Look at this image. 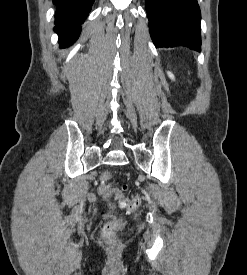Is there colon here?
I'll return each mask as SVG.
<instances>
[{"label":"colon","instance_id":"obj_1","mask_svg":"<svg viewBox=\"0 0 247 275\" xmlns=\"http://www.w3.org/2000/svg\"><path fill=\"white\" fill-rule=\"evenodd\" d=\"M111 179V173L104 172L100 176L101 184L98 186V193L103 196H109L115 194L117 200L119 201L120 207L132 212L136 210L141 204V196L139 194L131 195L130 197H125L120 190L111 189L105 184ZM124 220L122 218H117L108 221L102 228V235L108 241H113L117 232L123 227Z\"/></svg>","mask_w":247,"mask_h":275}]
</instances>
